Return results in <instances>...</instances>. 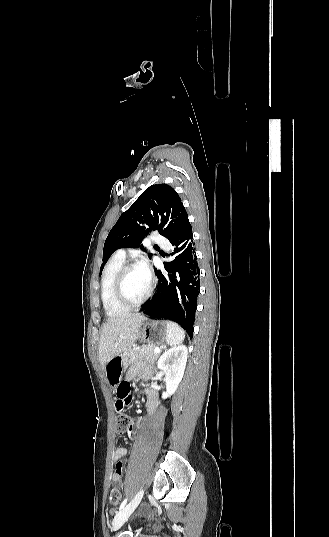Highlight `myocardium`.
I'll use <instances>...</instances> for the list:
<instances>
[{"mask_svg": "<svg viewBox=\"0 0 329 537\" xmlns=\"http://www.w3.org/2000/svg\"><path fill=\"white\" fill-rule=\"evenodd\" d=\"M138 267V264L136 263H130V264H125L121 267V269L119 270L118 274H117V278H116V282H115V294H116V298L118 300V302L124 306L125 308H128V309H132V308H136V307H139L140 305H142L151 295L152 291H153V282L151 280H149V286H148V289L146 291V293L143 295V297L141 299H139L138 301H135V302H132L130 300L127 299L125 293H124V280H125V277L127 275V273L129 271H131L132 269L134 268H137Z\"/></svg>", "mask_w": 329, "mask_h": 537, "instance_id": "1", "label": "myocardium"}]
</instances>
